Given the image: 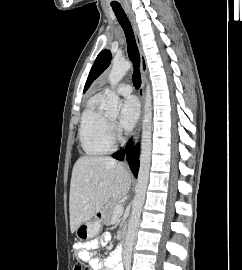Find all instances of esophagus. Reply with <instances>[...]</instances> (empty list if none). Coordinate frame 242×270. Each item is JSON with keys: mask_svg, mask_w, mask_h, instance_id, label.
Listing matches in <instances>:
<instances>
[{"mask_svg": "<svg viewBox=\"0 0 242 270\" xmlns=\"http://www.w3.org/2000/svg\"><path fill=\"white\" fill-rule=\"evenodd\" d=\"M125 10H126V14L128 16V19L131 23V26H132V29H133V32L135 35L136 44H137L139 54H140V64H141V86H140V89L138 91L139 96H140V101H141V116H140V119L136 125L134 132H133V139L136 142L137 139L139 138V135H140L141 126H142V119H143V112H144V102H145L144 85H145V75L147 73V62H146V58L144 55L142 42H141L138 26H137V23L135 21L134 15L132 14L131 10L127 6L125 7Z\"/></svg>", "mask_w": 242, "mask_h": 270, "instance_id": "1", "label": "esophagus"}]
</instances>
